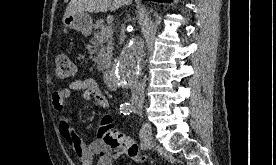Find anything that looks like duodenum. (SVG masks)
Segmentation results:
<instances>
[{"label":"duodenum","instance_id":"obj_1","mask_svg":"<svg viewBox=\"0 0 276 165\" xmlns=\"http://www.w3.org/2000/svg\"><path fill=\"white\" fill-rule=\"evenodd\" d=\"M104 78L107 86L110 89L116 90L118 88V80L116 78V75L111 70L105 71Z\"/></svg>","mask_w":276,"mask_h":165}]
</instances>
